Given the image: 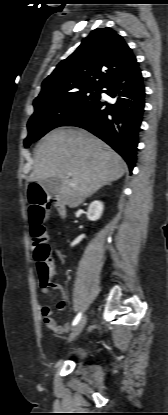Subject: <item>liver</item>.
<instances>
[{
    "mask_svg": "<svg viewBox=\"0 0 168 415\" xmlns=\"http://www.w3.org/2000/svg\"><path fill=\"white\" fill-rule=\"evenodd\" d=\"M126 171L124 160L106 143L84 129L60 127L49 132L37 146L34 169L28 180L60 178L58 200L76 208Z\"/></svg>",
    "mask_w": 168,
    "mask_h": 415,
    "instance_id": "obj_1",
    "label": "liver"
}]
</instances>
